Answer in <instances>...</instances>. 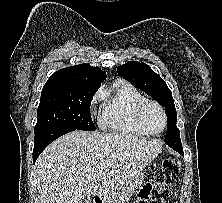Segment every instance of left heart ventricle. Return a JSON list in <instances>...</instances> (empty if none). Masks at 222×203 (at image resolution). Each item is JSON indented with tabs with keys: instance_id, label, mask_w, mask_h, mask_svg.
Returning a JSON list of instances; mask_svg holds the SVG:
<instances>
[{
	"instance_id": "obj_1",
	"label": "left heart ventricle",
	"mask_w": 222,
	"mask_h": 203,
	"mask_svg": "<svg viewBox=\"0 0 222 203\" xmlns=\"http://www.w3.org/2000/svg\"><path fill=\"white\" fill-rule=\"evenodd\" d=\"M144 119L147 126L154 132H158L163 128L164 121L161 112L154 106L147 107Z\"/></svg>"
}]
</instances>
